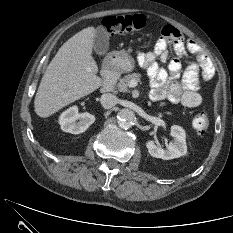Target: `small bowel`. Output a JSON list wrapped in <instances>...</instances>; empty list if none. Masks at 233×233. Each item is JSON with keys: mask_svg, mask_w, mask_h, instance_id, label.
<instances>
[{"mask_svg": "<svg viewBox=\"0 0 233 233\" xmlns=\"http://www.w3.org/2000/svg\"><path fill=\"white\" fill-rule=\"evenodd\" d=\"M169 49L175 57L169 59ZM191 53L193 62L183 65L182 59ZM138 62L147 69L151 82L152 100H168L173 104L197 107L202 103L199 93L202 81L214 76V67L205 51L193 40L185 39L178 29L165 26L154 48L146 53H137ZM158 60L168 63L167 68L159 66Z\"/></svg>", "mask_w": 233, "mask_h": 233, "instance_id": "1", "label": "small bowel"}]
</instances>
